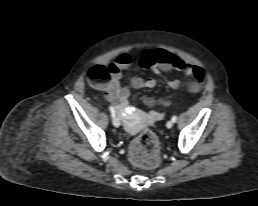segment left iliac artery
<instances>
[{"mask_svg": "<svg viewBox=\"0 0 258 206\" xmlns=\"http://www.w3.org/2000/svg\"><path fill=\"white\" fill-rule=\"evenodd\" d=\"M172 121H173L174 123L177 121V116H176V115H174V116L172 117Z\"/></svg>", "mask_w": 258, "mask_h": 206, "instance_id": "left-iliac-artery-1", "label": "left iliac artery"}]
</instances>
